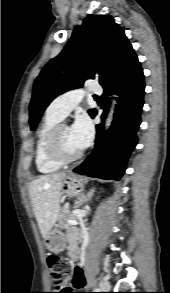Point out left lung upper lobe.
<instances>
[{
	"label": "left lung upper lobe",
	"mask_w": 170,
	"mask_h": 293,
	"mask_svg": "<svg viewBox=\"0 0 170 293\" xmlns=\"http://www.w3.org/2000/svg\"><path fill=\"white\" fill-rule=\"evenodd\" d=\"M131 47L124 30L112 16H88L74 29L63 51L50 60L34 83L30 103L31 130L49 103L58 95L80 88L86 79L103 84L115 64ZM95 109L89 110L92 116Z\"/></svg>",
	"instance_id": "1"
}]
</instances>
